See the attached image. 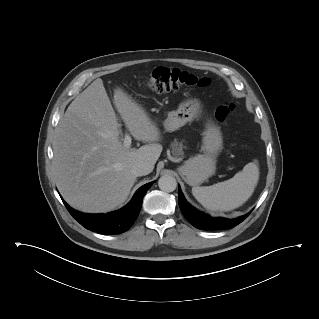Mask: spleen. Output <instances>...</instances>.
Returning a JSON list of instances; mask_svg holds the SVG:
<instances>
[{"instance_id":"spleen-1","label":"spleen","mask_w":319,"mask_h":319,"mask_svg":"<svg viewBox=\"0 0 319 319\" xmlns=\"http://www.w3.org/2000/svg\"><path fill=\"white\" fill-rule=\"evenodd\" d=\"M258 180L259 168L256 162H250L231 179L211 186L193 187L192 194L208 210L230 211L251 197Z\"/></svg>"}]
</instances>
